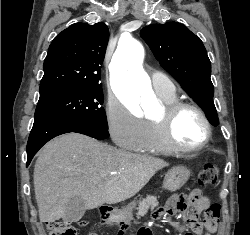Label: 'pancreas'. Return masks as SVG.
<instances>
[{
	"label": "pancreas",
	"instance_id": "obj_1",
	"mask_svg": "<svg viewBox=\"0 0 250 235\" xmlns=\"http://www.w3.org/2000/svg\"><path fill=\"white\" fill-rule=\"evenodd\" d=\"M158 206V200L156 196H147L146 199L140 201L139 206L137 208V217L144 216L149 208H155Z\"/></svg>",
	"mask_w": 250,
	"mask_h": 235
}]
</instances>
